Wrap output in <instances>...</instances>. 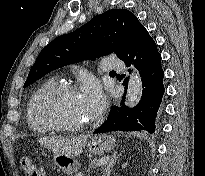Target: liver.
Instances as JSON below:
<instances>
[{
    "label": "liver",
    "mask_w": 205,
    "mask_h": 176,
    "mask_svg": "<svg viewBox=\"0 0 205 176\" xmlns=\"http://www.w3.org/2000/svg\"><path fill=\"white\" fill-rule=\"evenodd\" d=\"M88 137V135H82L72 139L44 137L39 141L44 147L51 149L54 153L75 157L83 152Z\"/></svg>",
    "instance_id": "6515ba94"
}]
</instances>
